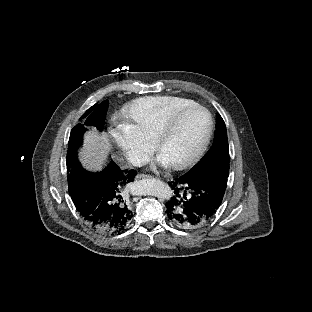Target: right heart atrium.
<instances>
[{"instance_id": "d8ad5b80", "label": "right heart atrium", "mask_w": 312, "mask_h": 312, "mask_svg": "<svg viewBox=\"0 0 312 312\" xmlns=\"http://www.w3.org/2000/svg\"><path fill=\"white\" fill-rule=\"evenodd\" d=\"M114 139L121 145V152L134 166L146 167L151 162V153L145 148L139 126L132 120H125L114 132Z\"/></svg>"}]
</instances>
